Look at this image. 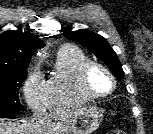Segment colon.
I'll return each mask as SVG.
<instances>
[{
  "label": "colon",
  "mask_w": 153,
  "mask_h": 134,
  "mask_svg": "<svg viewBox=\"0 0 153 134\" xmlns=\"http://www.w3.org/2000/svg\"><path fill=\"white\" fill-rule=\"evenodd\" d=\"M115 134H126L123 131H116Z\"/></svg>",
  "instance_id": "5ec220e1"
}]
</instances>
